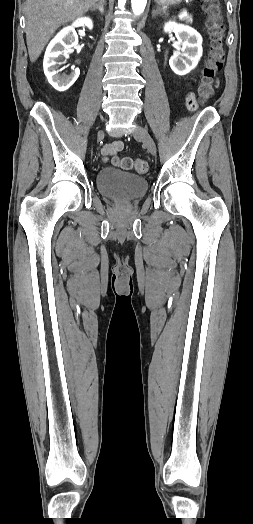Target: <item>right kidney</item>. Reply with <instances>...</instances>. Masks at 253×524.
I'll use <instances>...</instances> for the list:
<instances>
[{
	"instance_id": "obj_1",
	"label": "right kidney",
	"mask_w": 253,
	"mask_h": 524,
	"mask_svg": "<svg viewBox=\"0 0 253 524\" xmlns=\"http://www.w3.org/2000/svg\"><path fill=\"white\" fill-rule=\"evenodd\" d=\"M76 27L92 29L93 22L88 17L78 18L71 26L62 29L49 43L44 56V73L49 83L60 92L69 89L80 74V70L74 67L69 75L59 74V66L63 63L61 61L68 58L71 48L78 44Z\"/></svg>"
}]
</instances>
